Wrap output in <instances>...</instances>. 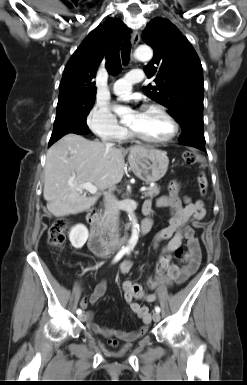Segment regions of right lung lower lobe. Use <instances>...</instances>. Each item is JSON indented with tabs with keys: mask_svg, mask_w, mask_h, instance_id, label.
I'll return each mask as SVG.
<instances>
[{
	"mask_svg": "<svg viewBox=\"0 0 247 385\" xmlns=\"http://www.w3.org/2000/svg\"><path fill=\"white\" fill-rule=\"evenodd\" d=\"M89 132L88 127H70L63 129L58 132H53L49 141V146L52 145L54 142H56L58 139H60L63 135L67 133H75L79 135L87 134Z\"/></svg>",
	"mask_w": 247,
	"mask_h": 385,
	"instance_id": "1",
	"label": "right lung lower lobe"
}]
</instances>
